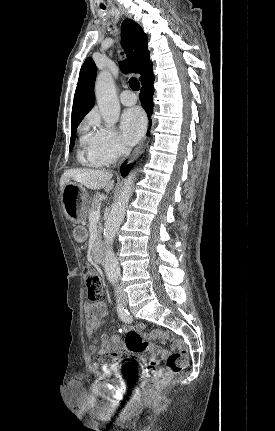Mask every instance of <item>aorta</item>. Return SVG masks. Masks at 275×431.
I'll return each instance as SVG.
<instances>
[{"mask_svg": "<svg viewBox=\"0 0 275 431\" xmlns=\"http://www.w3.org/2000/svg\"><path fill=\"white\" fill-rule=\"evenodd\" d=\"M95 93L103 120L108 126H113L117 123L120 116V104L116 95L113 78L108 71H102L98 75L95 83ZM135 177L136 172L130 173L125 179L123 188L112 204L109 216L105 221L104 239L106 243V253L104 269L111 282L117 281L120 276L118 259L111 245L124 219L126 205L132 194Z\"/></svg>", "mask_w": 275, "mask_h": 431, "instance_id": "1", "label": "aorta"}]
</instances>
